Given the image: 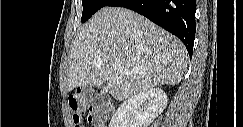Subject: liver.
Instances as JSON below:
<instances>
[{
	"label": "liver",
	"mask_w": 243,
	"mask_h": 127,
	"mask_svg": "<svg viewBox=\"0 0 243 127\" xmlns=\"http://www.w3.org/2000/svg\"><path fill=\"white\" fill-rule=\"evenodd\" d=\"M187 60L184 44L169 32L126 8L104 7L72 43L67 89L105 83V92L121 101L156 86L178 84ZM115 63L122 72L114 70Z\"/></svg>",
	"instance_id": "obj_1"
}]
</instances>
